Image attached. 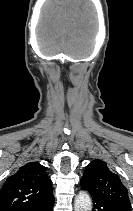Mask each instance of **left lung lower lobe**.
Wrapping results in <instances>:
<instances>
[{
	"label": "left lung lower lobe",
	"instance_id": "1",
	"mask_svg": "<svg viewBox=\"0 0 133 211\" xmlns=\"http://www.w3.org/2000/svg\"><path fill=\"white\" fill-rule=\"evenodd\" d=\"M93 199V211H131L129 208L108 202L103 201L98 198Z\"/></svg>",
	"mask_w": 133,
	"mask_h": 211
}]
</instances>
